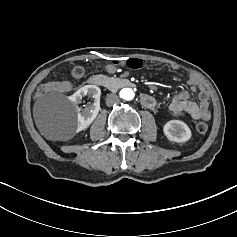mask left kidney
Wrapping results in <instances>:
<instances>
[{"label": "left kidney", "mask_w": 237, "mask_h": 237, "mask_svg": "<svg viewBox=\"0 0 237 237\" xmlns=\"http://www.w3.org/2000/svg\"><path fill=\"white\" fill-rule=\"evenodd\" d=\"M164 134L170 141L186 142L191 138V130L186 123L180 120H170L164 125Z\"/></svg>", "instance_id": "left-kidney-1"}]
</instances>
